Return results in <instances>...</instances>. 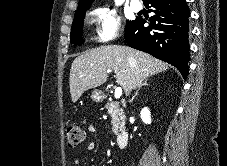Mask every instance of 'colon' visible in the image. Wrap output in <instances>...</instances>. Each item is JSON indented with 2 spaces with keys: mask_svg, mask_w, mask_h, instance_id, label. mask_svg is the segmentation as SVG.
I'll list each match as a JSON object with an SVG mask.
<instances>
[{
  "mask_svg": "<svg viewBox=\"0 0 227 166\" xmlns=\"http://www.w3.org/2000/svg\"><path fill=\"white\" fill-rule=\"evenodd\" d=\"M66 138L68 145L75 147L85 141L86 134L79 126L69 124L66 126Z\"/></svg>",
  "mask_w": 227,
  "mask_h": 166,
  "instance_id": "5ec220e1",
  "label": "colon"
}]
</instances>
